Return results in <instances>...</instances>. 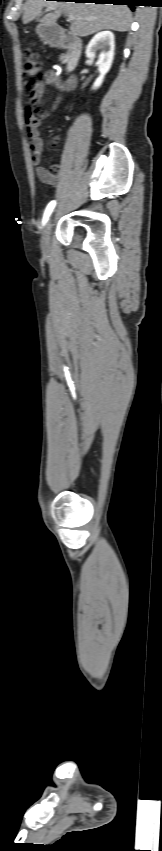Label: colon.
<instances>
[{"label": "colon", "instance_id": "1", "mask_svg": "<svg viewBox=\"0 0 162 851\" xmlns=\"http://www.w3.org/2000/svg\"><path fill=\"white\" fill-rule=\"evenodd\" d=\"M25 63L23 67V80L25 89L33 93L35 88L41 83L43 74L40 64L37 61V55L30 49L24 51Z\"/></svg>", "mask_w": 162, "mask_h": 851}]
</instances>
